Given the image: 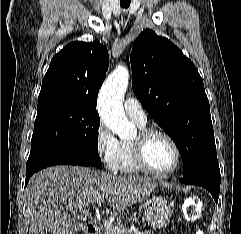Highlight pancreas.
I'll return each instance as SVG.
<instances>
[{
    "label": "pancreas",
    "mask_w": 241,
    "mask_h": 234,
    "mask_svg": "<svg viewBox=\"0 0 241 234\" xmlns=\"http://www.w3.org/2000/svg\"><path fill=\"white\" fill-rule=\"evenodd\" d=\"M115 226L119 227L121 230L120 231H117L115 230ZM102 234H126L123 227L119 224H115L111 227H104L103 231H102ZM141 234H150L149 232H144V233H141Z\"/></svg>",
    "instance_id": "1"
}]
</instances>
